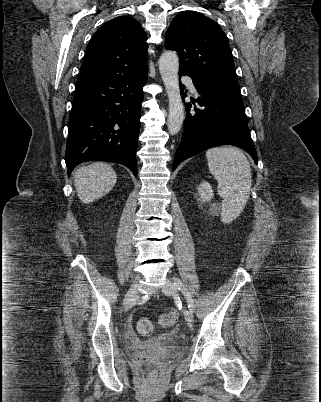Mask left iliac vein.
Listing matches in <instances>:
<instances>
[{"mask_svg":"<svg viewBox=\"0 0 321 402\" xmlns=\"http://www.w3.org/2000/svg\"><path fill=\"white\" fill-rule=\"evenodd\" d=\"M162 290L166 295H169V296L174 295L176 292V288H175L173 282L170 280H166L164 286L162 287ZM184 317L187 322H192L193 321L192 311L190 309L184 310Z\"/></svg>","mask_w":321,"mask_h":402,"instance_id":"obj_1","label":"left iliac vein"}]
</instances>
